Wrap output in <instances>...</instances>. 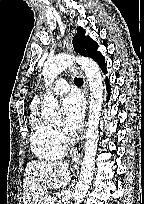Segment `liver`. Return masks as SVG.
Instances as JSON below:
<instances>
[{"mask_svg": "<svg viewBox=\"0 0 144 204\" xmlns=\"http://www.w3.org/2000/svg\"><path fill=\"white\" fill-rule=\"evenodd\" d=\"M68 166L67 162H28L23 180V203L37 204L47 190L67 186L71 180Z\"/></svg>", "mask_w": 144, "mask_h": 204, "instance_id": "6515ba94", "label": "liver"}]
</instances>
